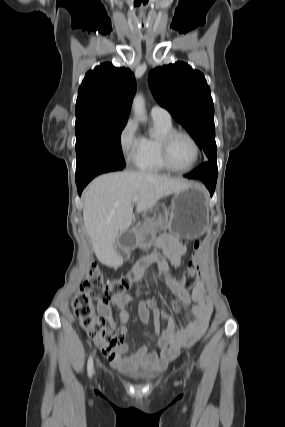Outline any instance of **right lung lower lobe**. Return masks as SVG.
<instances>
[{
    "mask_svg": "<svg viewBox=\"0 0 285 427\" xmlns=\"http://www.w3.org/2000/svg\"><path fill=\"white\" fill-rule=\"evenodd\" d=\"M125 165H117L110 163H96L86 168L82 173L76 175V184L78 194L81 195L84 187L97 175L122 170Z\"/></svg>",
    "mask_w": 285,
    "mask_h": 427,
    "instance_id": "right-lung-lower-lobe-1",
    "label": "right lung lower lobe"
}]
</instances>
